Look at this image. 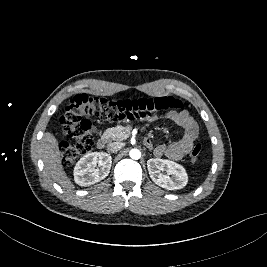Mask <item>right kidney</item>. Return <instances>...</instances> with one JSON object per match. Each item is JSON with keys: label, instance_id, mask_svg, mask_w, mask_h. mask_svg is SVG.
Wrapping results in <instances>:
<instances>
[{"label": "right kidney", "instance_id": "right-kidney-1", "mask_svg": "<svg viewBox=\"0 0 267 267\" xmlns=\"http://www.w3.org/2000/svg\"><path fill=\"white\" fill-rule=\"evenodd\" d=\"M98 164L99 168H95ZM112 158L104 152H92L84 155L74 168V180L80 186L93 185L104 178L110 172Z\"/></svg>", "mask_w": 267, "mask_h": 267}]
</instances>
